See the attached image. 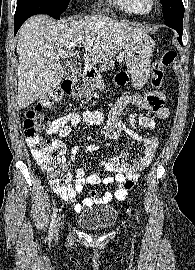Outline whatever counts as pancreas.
<instances>
[{
	"label": "pancreas",
	"instance_id": "obj_1",
	"mask_svg": "<svg viewBox=\"0 0 195 270\" xmlns=\"http://www.w3.org/2000/svg\"><path fill=\"white\" fill-rule=\"evenodd\" d=\"M114 66V62L113 61H110V62H107V61H104L102 62V65H101V70H108L110 68H112Z\"/></svg>",
	"mask_w": 195,
	"mask_h": 270
}]
</instances>
